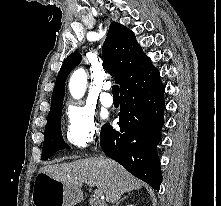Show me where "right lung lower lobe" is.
I'll list each match as a JSON object with an SVG mask.
<instances>
[{
	"label": "right lung lower lobe",
	"mask_w": 221,
	"mask_h": 206,
	"mask_svg": "<svg viewBox=\"0 0 221 206\" xmlns=\"http://www.w3.org/2000/svg\"><path fill=\"white\" fill-rule=\"evenodd\" d=\"M163 93L159 72L152 65L120 90V130L106 124L100 132L103 152L155 190L162 182L156 148L164 123Z\"/></svg>",
	"instance_id": "98d812e1"
}]
</instances>
